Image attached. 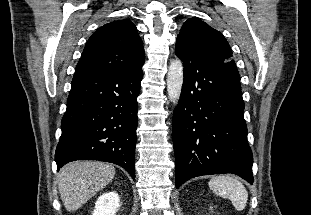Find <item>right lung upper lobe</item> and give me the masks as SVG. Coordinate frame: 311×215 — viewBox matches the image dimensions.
Instances as JSON below:
<instances>
[{
  "instance_id": "1",
  "label": "right lung upper lobe",
  "mask_w": 311,
  "mask_h": 215,
  "mask_svg": "<svg viewBox=\"0 0 311 215\" xmlns=\"http://www.w3.org/2000/svg\"><path fill=\"white\" fill-rule=\"evenodd\" d=\"M145 54L135 25L127 19L98 28L86 42L76 71L131 72L141 68Z\"/></svg>"
}]
</instances>
